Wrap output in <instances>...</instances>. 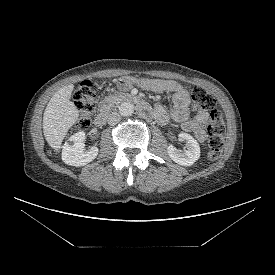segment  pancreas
I'll use <instances>...</instances> for the list:
<instances>
[{
    "instance_id": "pancreas-1",
    "label": "pancreas",
    "mask_w": 275,
    "mask_h": 275,
    "mask_svg": "<svg viewBox=\"0 0 275 275\" xmlns=\"http://www.w3.org/2000/svg\"><path fill=\"white\" fill-rule=\"evenodd\" d=\"M131 98L130 94L121 93L118 91H115L113 94H110L105 97L103 100V106L106 107H114L121 103L122 101H125L127 99Z\"/></svg>"
}]
</instances>
